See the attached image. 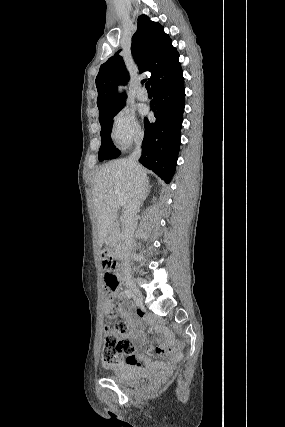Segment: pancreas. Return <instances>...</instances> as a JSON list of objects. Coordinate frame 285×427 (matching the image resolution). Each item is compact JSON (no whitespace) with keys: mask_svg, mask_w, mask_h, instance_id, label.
Instances as JSON below:
<instances>
[{"mask_svg":"<svg viewBox=\"0 0 285 427\" xmlns=\"http://www.w3.org/2000/svg\"><path fill=\"white\" fill-rule=\"evenodd\" d=\"M120 241V229L115 226L111 229L109 236L107 238V244L109 246H117Z\"/></svg>","mask_w":285,"mask_h":427,"instance_id":"pancreas-1","label":"pancreas"}]
</instances>
